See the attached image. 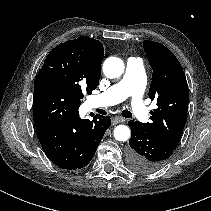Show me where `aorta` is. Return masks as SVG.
Wrapping results in <instances>:
<instances>
[{
    "label": "aorta",
    "mask_w": 211,
    "mask_h": 211,
    "mask_svg": "<svg viewBox=\"0 0 211 211\" xmlns=\"http://www.w3.org/2000/svg\"><path fill=\"white\" fill-rule=\"evenodd\" d=\"M123 61L117 57H109L104 61L103 72L108 78H117L124 72ZM114 137L118 141H127L130 138V129L126 125H118L114 129Z\"/></svg>",
    "instance_id": "obj_1"
}]
</instances>
